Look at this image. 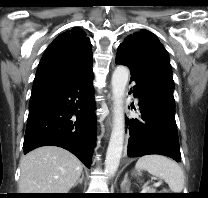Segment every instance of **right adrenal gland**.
<instances>
[{"instance_id":"1","label":"right adrenal gland","mask_w":208,"mask_h":198,"mask_svg":"<svg viewBox=\"0 0 208 198\" xmlns=\"http://www.w3.org/2000/svg\"><path fill=\"white\" fill-rule=\"evenodd\" d=\"M83 179H84V173L82 172L81 178L74 184V187H76L79 183L82 184Z\"/></svg>"}]
</instances>
